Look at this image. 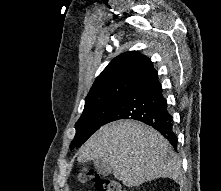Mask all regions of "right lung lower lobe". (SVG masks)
Instances as JSON below:
<instances>
[{
    "instance_id": "1",
    "label": "right lung lower lobe",
    "mask_w": 221,
    "mask_h": 191,
    "mask_svg": "<svg viewBox=\"0 0 221 191\" xmlns=\"http://www.w3.org/2000/svg\"><path fill=\"white\" fill-rule=\"evenodd\" d=\"M119 119H134L159 131L176 149L173 119L162 95L157 73L132 88L118 103L105 124Z\"/></svg>"
}]
</instances>
